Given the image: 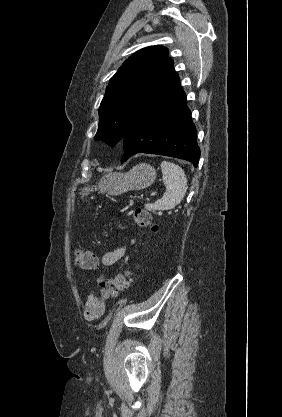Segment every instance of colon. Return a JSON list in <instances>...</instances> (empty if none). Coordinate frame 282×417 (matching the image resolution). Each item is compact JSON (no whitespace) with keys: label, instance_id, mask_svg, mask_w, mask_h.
<instances>
[{"label":"colon","instance_id":"1","mask_svg":"<svg viewBox=\"0 0 282 417\" xmlns=\"http://www.w3.org/2000/svg\"><path fill=\"white\" fill-rule=\"evenodd\" d=\"M117 221L135 223L141 227L157 230V225L154 223L152 215L143 209L136 208L127 213L123 218L117 217ZM76 265L86 270H94L97 267V260L94 254L87 250L78 249L76 251ZM131 282L130 272H124L109 279H103L100 281V290L97 294V304L101 309L105 302L115 297L120 291L127 288Z\"/></svg>","mask_w":282,"mask_h":417}]
</instances>
